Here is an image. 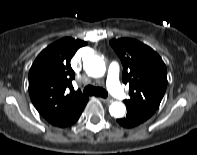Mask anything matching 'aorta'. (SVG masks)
Wrapping results in <instances>:
<instances>
[{
  "label": "aorta",
  "mask_w": 197,
  "mask_h": 155,
  "mask_svg": "<svg viewBox=\"0 0 197 155\" xmlns=\"http://www.w3.org/2000/svg\"><path fill=\"white\" fill-rule=\"evenodd\" d=\"M84 69L91 77H101L105 72V62L97 55H90L84 61ZM126 107L123 103L115 101L109 106V113L115 118L124 116Z\"/></svg>",
  "instance_id": "762f6f07"
}]
</instances>
